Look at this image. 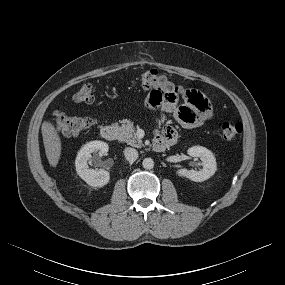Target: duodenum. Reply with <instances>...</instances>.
<instances>
[{
	"instance_id": "1",
	"label": "duodenum",
	"mask_w": 285,
	"mask_h": 285,
	"mask_svg": "<svg viewBox=\"0 0 285 285\" xmlns=\"http://www.w3.org/2000/svg\"><path fill=\"white\" fill-rule=\"evenodd\" d=\"M100 134L107 141L117 139V128L113 125H105L101 128ZM170 145L169 141L164 138H156L153 142V149L157 152H163Z\"/></svg>"
}]
</instances>
